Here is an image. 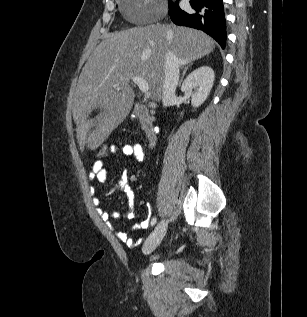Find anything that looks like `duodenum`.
I'll return each mask as SVG.
<instances>
[{"mask_svg": "<svg viewBox=\"0 0 307 317\" xmlns=\"http://www.w3.org/2000/svg\"><path fill=\"white\" fill-rule=\"evenodd\" d=\"M134 112L140 121V126L148 143L153 144L156 139V130L147 107L142 104H136Z\"/></svg>", "mask_w": 307, "mask_h": 317, "instance_id": "1", "label": "duodenum"}]
</instances>
